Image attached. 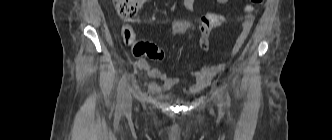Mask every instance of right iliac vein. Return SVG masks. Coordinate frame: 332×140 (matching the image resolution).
I'll return each instance as SVG.
<instances>
[{"mask_svg":"<svg viewBox=\"0 0 332 140\" xmlns=\"http://www.w3.org/2000/svg\"><path fill=\"white\" fill-rule=\"evenodd\" d=\"M132 106V96H131V91L127 90L125 94L123 95V103L122 107L125 112L129 111Z\"/></svg>","mask_w":332,"mask_h":140,"instance_id":"1","label":"right iliac vein"}]
</instances>
